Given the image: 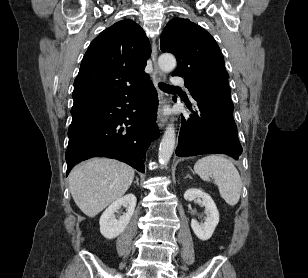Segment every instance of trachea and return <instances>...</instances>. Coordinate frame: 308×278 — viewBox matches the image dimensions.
Segmentation results:
<instances>
[{
    "instance_id": "1",
    "label": "trachea",
    "mask_w": 308,
    "mask_h": 278,
    "mask_svg": "<svg viewBox=\"0 0 308 278\" xmlns=\"http://www.w3.org/2000/svg\"><path fill=\"white\" fill-rule=\"evenodd\" d=\"M159 88L163 91H167V90H175L177 89V87L171 86V85H167L164 83H159Z\"/></svg>"
}]
</instances>
